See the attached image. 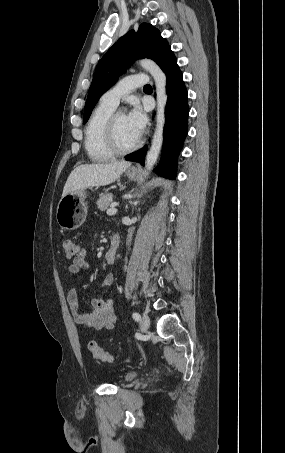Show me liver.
I'll list each match as a JSON object with an SVG mask.
<instances>
[{
    "label": "liver",
    "instance_id": "obj_1",
    "mask_svg": "<svg viewBox=\"0 0 285 453\" xmlns=\"http://www.w3.org/2000/svg\"><path fill=\"white\" fill-rule=\"evenodd\" d=\"M130 165L131 163L126 161L80 165L69 175L62 197L76 190L109 185L115 182Z\"/></svg>",
    "mask_w": 285,
    "mask_h": 453
}]
</instances>
